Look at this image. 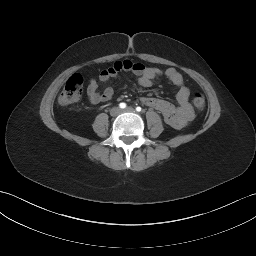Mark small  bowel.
<instances>
[{
    "mask_svg": "<svg viewBox=\"0 0 256 256\" xmlns=\"http://www.w3.org/2000/svg\"><path fill=\"white\" fill-rule=\"evenodd\" d=\"M132 72L138 79V85L144 88L150 87L153 80L165 75L174 85L178 87L176 94L177 105L155 97L143 96L140 101L151 108L158 111L164 121L175 129L185 127L193 119V111L188 102L190 91L184 84L181 73L171 67L165 71L157 67L146 66L140 62L130 60L117 61L112 66L103 69L98 77V81L91 79L87 86V96L92 104H98L109 101L113 95L112 87H106L102 92L99 91V83H106L111 78H115L120 72Z\"/></svg>",
    "mask_w": 256,
    "mask_h": 256,
    "instance_id": "obj_1",
    "label": "small bowel"
}]
</instances>
